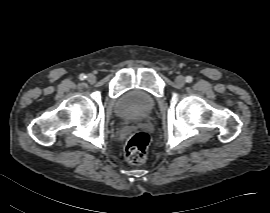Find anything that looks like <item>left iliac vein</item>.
I'll return each mask as SVG.
<instances>
[{"instance_id": "1", "label": "left iliac vein", "mask_w": 270, "mask_h": 213, "mask_svg": "<svg viewBox=\"0 0 270 213\" xmlns=\"http://www.w3.org/2000/svg\"><path fill=\"white\" fill-rule=\"evenodd\" d=\"M175 82L178 86H183L185 84V78L179 75L176 77Z\"/></svg>"}]
</instances>
